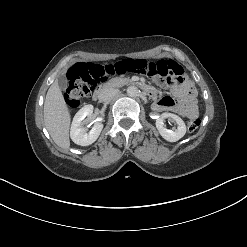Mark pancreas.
Masks as SVG:
<instances>
[{
	"mask_svg": "<svg viewBox=\"0 0 247 247\" xmlns=\"http://www.w3.org/2000/svg\"><path fill=\"white\" fill-rule=\"evenodd\" d=\"M120 81H121V80L115 81V82H114L115 85H119V84H120ZM122 81L129 82L130 80H129V79H124V80H122Z\"/></svg>",
	"mask_w": 247,
	"mask_h": 247,
	"instance_id": "cf45deb5",
	"label": "pancreas"
}]
</instances>
